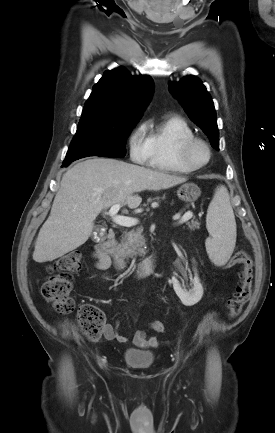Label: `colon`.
Listing matches in <instances>:
<instances>
[{
  "label": "colon",
  "mask_w": 275,
  "mask_h": 433,
  "mask_svg": "<svg viewBox=\"0 0 275 433\" xmlns=\"http://www.w3.org/2000/svg\"><path fill=\"white\" fill-rule=\"evenodd\" d=\"M230 263L240 265L236 289L227 301L228 316L236 318L251 297L254 267L251 258L245 251L236 252ZM81 269L80 252H68L55 261L50 268V272H53V274L42 284V296L60 314H69L75 309L71 290L74 275L79 273ZM77 318L83 335L89 341H96L101 337L105 317L97 306L91 303L81 304L77 310ZM151 328L153 331L160 333L165 330V324L163 321L157 320L151 323Z\"/></svg>",
  "instance_id": "1"
}]
</instances>
